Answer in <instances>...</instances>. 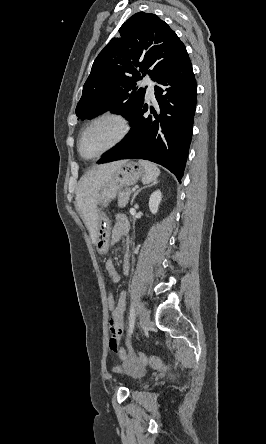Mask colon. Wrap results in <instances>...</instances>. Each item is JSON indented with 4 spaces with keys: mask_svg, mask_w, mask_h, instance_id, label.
Returning <instances> with one entry per match:
<instances>
[{
    "mask_svg": "<svg viewBox=\"0 0 266 444\" xmlns=\"http://www.w3.org/2000/svg\"><path fill=\"white\" fill-rule=\"evenodd\" d=\"M106 303L107 308L110 311H113L116 308L117 303L112 293L107 294ZM124 356H127L131 359V370L136 372H142L146 366H150L158 370H164L167 368L164 360L158 357H151L143 353L134 352H131L127 355L124 353Z\"/></svg>",
    "mask_w": 266,
    "mask_h": 444,
    "instance_id": "colon-1",
    "label": "colon"
}]
</instances>
